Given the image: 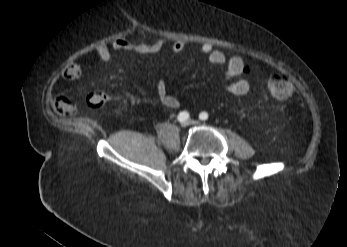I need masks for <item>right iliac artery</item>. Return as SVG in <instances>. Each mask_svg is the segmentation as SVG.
I'll return each mask as SVG.
<instances>
[{
  "label": "right iliac artery",
  "mask_w": 347,
  "mask_h": 247,
  "mask_svg": "<svg viewBox=\"0 0 347 247\" xmlns=\"http://www.w3.org/2000/svg\"><path fill=\"white\" fill-rule=\"evenodd\" d=\"M189 113L186 111H182L178 114L177 119L179 122L183 123L189 119Z\"/></svg>",
  "instance_id": "1"
}]
</instances>
